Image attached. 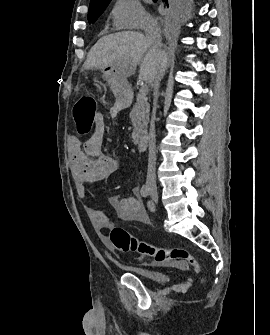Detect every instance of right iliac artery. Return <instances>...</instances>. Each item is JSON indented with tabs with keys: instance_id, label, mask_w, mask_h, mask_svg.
<instances>
[{
	"instance_id": "82829eb1",
	"label": "right iliac artery",
	"mask_w": 270,
	"mask_h": 335,
	"mask_svg": "<svg viewBox=\"0 0 270 335\" xmlns=\"http://www.w3.org/2000/svg\"><path fill=\"white\" fill-rule=\"evenodd\" d=\"M140 192L143 197H147L149 195V187L146 184H144Z\"/></svg>"
}]
</instances>
